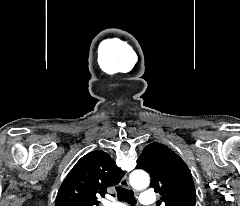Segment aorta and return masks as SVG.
Wrapping results in <instances>:
<instances>
[{
	"mask_svg": "<svg viewBox=\"0 0 240 206\" xmlns=\"http://www.w3.org/2000/svg\"><path fill=\"white\" fill-rule=\"evenodd\" d=\"M130 184L135 189L145 188L150 183L149 175L142 170H135L130 174Z\"/></svg>",
	"mask_w": 240,
	"mask_h": 206,
	"instance_id": "obj_1",
	"label": "aorta"
}]
</instances>
